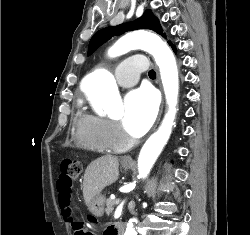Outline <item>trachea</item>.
<instances>
[{
  "instance_id": "1",
  "label": "trachea",
  "mask_w": 250,
  "mask_h": 235,
  "mask_svg": "<svg viewBox=\"0 0 250 235\" xmlns=\"http://www.w3.org/2000/svg\"><path fill=\"white\" fill-rule=\"evenodd\" d=\"M148 75H149L150 77H155V76H156V73H155L154 70H150L149 73H148Z\"/></svg>"
}]
</instances>
